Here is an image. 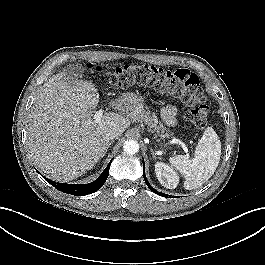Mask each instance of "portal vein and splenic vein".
I'll list each match as a JSON object with an SVG mask.
<instances>
[{"label": "portal vein and splenic vein", "mask_w": 265, "mask_h": 265, "mask_svg": "<svg viewBox=\"0 0 265 265\" xmlns=\"http://www.w3.org/2000/svg\"><path fill=\"white\" fill-rule=\"evenodd\" d=\"M103 115V110L100 109L99 111L95 112L94 114V119L96 122L100 121L101 120V117ZM185 146V144H183Z\"/></svg>", "instance_id": "18ae733b"}]
</instances>
